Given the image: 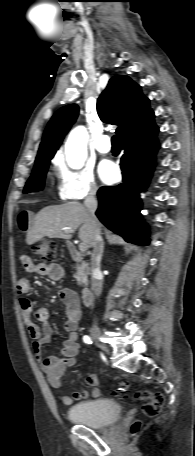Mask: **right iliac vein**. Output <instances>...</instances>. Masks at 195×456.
<instances>
[{
	"mask_svg": "<svg viewBox=\"0 0 195 456\" xmlns=\"http://www.w3.org/2000/svg\"><path fill=\"white\" fill-rule=\"evenodd\" d=\"M90 334H91L92 339H93L95 342H97V343L100 345V347H101L105 352H108V349H107L106 345L100 342V331H99V329L96 328V327L92 328V329L90 330Z\"/></svg>",
	"mask_w": 195,
	"mask_h": 456,
	"instance_id": "right-iliac-vein-1",
	"label": "right iliac vein"
}]
</instances>
